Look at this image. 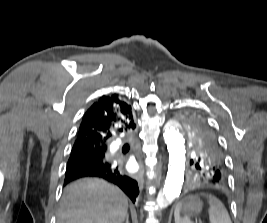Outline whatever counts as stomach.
<instances>
[{"label":"stomach","mask_w":267,"mask_h":223,"mask_svg":"<svg viewBox=\"0 0 267 223\" xmlns=\"http://www.w3.org/2000/svg\"><path fill=\"white\" fill-rule=\"evenodd\" d=\"M203 207V203L197 196L188 197L182 205V211L186 217H193L198 215Z\"/></svg>","instance_id":"1"}]
</instances>
